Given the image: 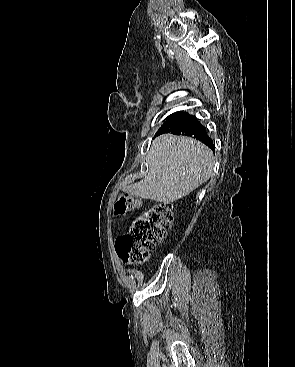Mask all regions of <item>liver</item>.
Masks as SVG:
<instances>
[{"instance_id":"liver-1","label":"liver","mask_w":295,"mask_h":367,"mask_svg":"<svg viewBox=\"0 0 295 367\" xmlns=\"http://www.w3.org/2000/svg\"><path fill=\"white\" fill-rule=\"evenodd\" d=\"M149 171L127 192L144 199L169 204L187 196L213 172L212 151L201 142L184 136L157 137L147 154Z\"/></svg>"}]
</instances>
